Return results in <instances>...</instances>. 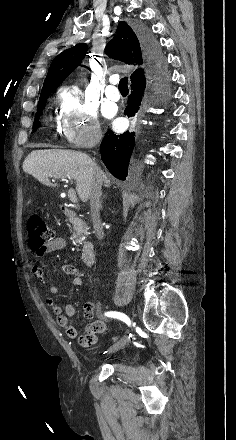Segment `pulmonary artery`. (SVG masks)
Masks as SVG:
<instances>
[{
    "instance_id": "obj_1",
    "label": "pulmonary artery",
    "mask_w": 236,
    "mask_h": 440,
    "mask_svg": "<svg viewBox=\"0 0 236 440\" xmlns=\"http://www.w3.org/2000/svg\"><path fill=\"white\" fill-rule=\"evenodd\" d=\"M115 84H116V80L114 78H110L109 84L105 90L106 97L112 101H118L120 99V94Z\"/></svg>"
}]
</instances>
